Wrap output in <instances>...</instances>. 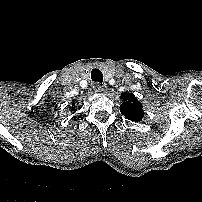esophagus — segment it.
Returning <instances> with one entry per match:
<instances>
[{"mask_svg": "<svg viewBox=\"0 0 202 202\" xmlns=\"http://www.w3.org/2000/svg\"><path fill=\"white\" fill-rule=\"evenodd\" d=\"M93 89L95 92H102L103 91V86L100 83H95L93 86Z\"/></svg>", "mask_w": 202, "mask_h": 202, "instance_id": "1", "label": "esophagus"}]
</instances>
